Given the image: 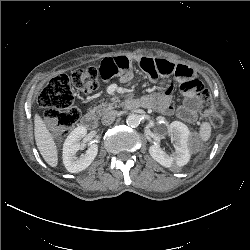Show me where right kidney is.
<instances>
[{"mask_svg": "<svg viewBox=\"0 0 250 250\" xmlns=\"http://www.w3.org/2000/svg\"><path fill=\"white\" fill-rule=\"evenodd\" d=\"M87 134L83 126L75 128L66 138L63 144V163L70 173H78L85 170L95 159L98 153V145L92 144L81 157L76 153L81 149L80 140Z\"/></svg>", "mask_w": 250, "mask_h": 250, "instance_id": "right-kidney-1", "label": "right kidney"}]
</instances>
